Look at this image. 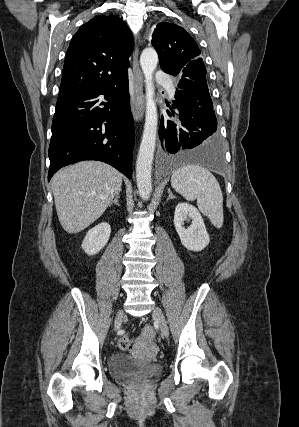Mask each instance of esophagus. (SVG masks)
<instances>
[{
	"label": "esophagus",
	"instance_id": "esophagus-1",
	"mask_svg": "<svg viewBox=\"0 0 299 427\" xmlns=\"http://www.w3.org/2000/svg\"><path fill=\"white\" fill-rule=\"evenodd\" d=\"M138 54L139 50L136 47L133 55L134 103L131 105L135 121H140L144 115L143 76L138 63Z\"/></svg>",
	"mask_w": 299,
	"mask_h": 427
}]
</instances>
